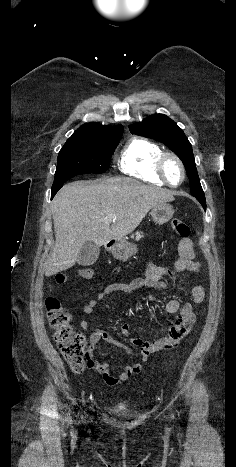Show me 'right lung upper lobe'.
I'll return each mask as SVG.
<instances>
[{"label": "right lung upper lobe", "instance_id": "cb5924a9", "mask_svg": "<svg viewBox=\"0 0 236 467\" xmlns=\"http://www.w3.org/2000/svg\"><path fill=\"white\" fill-rule=\"evenodd\" d=\"M123 132V127L119 126H105L96 123L84 124L79 127L74 134L76 135H91V134H120Z\"/></svg>", "mask_w": 236, "mask_h": 467}]
</instances>
